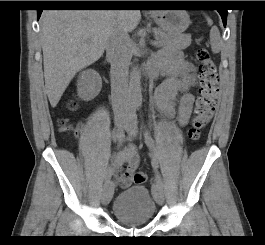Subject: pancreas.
<instances>
[{
	"mask_svg": "<svg viewBox=\"0 0 265 245\" xmlns=\"http://www.w3.org/2000/svg\"><path fill=\"white\" fill-rule=\"evenodd\" d=\"M158 46L166 49H186L191 44V36L180 34L177 36L166 34L161 30H156Z\"/></svg>",
	"mask_w": 265,
	"mask_h": 245,
	"instance_id": "obj_1",
	"label": "pancreas"
}]
</instances>
